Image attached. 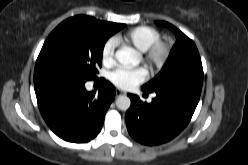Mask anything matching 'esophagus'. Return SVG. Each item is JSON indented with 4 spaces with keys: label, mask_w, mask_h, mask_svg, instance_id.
Returning <instances> with one entry per match:
<instances>
[{
    "label": "esophagus",
    "mask_w": 248,
    "mask_h": 165,
    "mask_svg": "<svg viewBox=\"0 0 248 165\" xmlns=\"http://www.w3.org/2000/svg\"><path fill=\"white\" fill-rule=\"evenodd\" d=\"M125 92L120 90V89H116V96H120L122 94H124Z\"/></svg>",
    "instance_id": "obj_1"
}]
</instances>
